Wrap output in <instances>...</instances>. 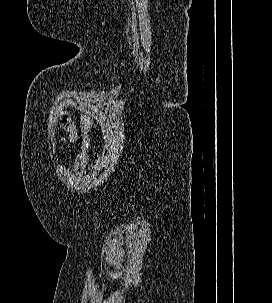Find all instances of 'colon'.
Returning <instances> with one entry per match:
<instances>
[{"mask_svg":"<svg viewBox=\"0 0 272 303\" xmlns=\"http://www.w3.org/2000/svg\"><path fill=\"white\" fill-rule=\"evenodd\" d=\"M91 128L92 120L89 116L82 118V144L81 150L74 165V170L78 169L88 158L91 150Z\"/></svg>","mask_w":272,"mask_h":303,"instance_id":"colon-1","label":"colon"}]
</instances>
